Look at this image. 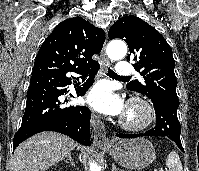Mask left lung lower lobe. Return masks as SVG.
I'll list each match as a JSON object with an SVG mask.
<instances>
[{"label": "left lung lower lobe", "mask_w": 199, "mask_h": 171, "mask_svg": "<svg viewBox=\"0 0 199 171\" xmlns=\"http://www.w3.org/2000/svg\"><path fill=\"white\" fill-rule=\"evenodd\" d=\"M156 112V126L145 133L140 134H116L119 138H136L142 136L168 137L183 150L180 133L181 126L177 117L179 105L166 101H152Z\"/></svg>", "instance_id": "left-lung-lower-lobe-1"}]
</instances>
